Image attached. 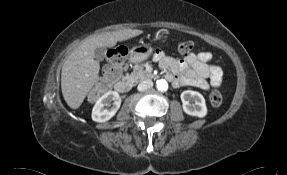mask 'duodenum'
I'll return each mask as SVG.
<instances>
[{
	"label": "duodenum",
	"instance_id": "obj_1",
	"mask_svg": "<svg viewBox=\"0 0 287 175\" xmlns=\"http://www.w3.org/2000/svg\"><path fill=\"white\" fill-rule=\"evenodd\" d=\"M112 75L113 73H107L106 74V78L108 81H112ZM118 79V78H117ZM116 79V80H117ZM166 79L171 81L169 79V74L166 75ZM115 80V81H116ZM115 87L116 89L119 91V92H128L131 87H132V80L130 78H122V79H119L117 80L116 84H115Z\"/></svg>",
	"mask_w": 287,
	"mask_h": 175
}]
</instances>
